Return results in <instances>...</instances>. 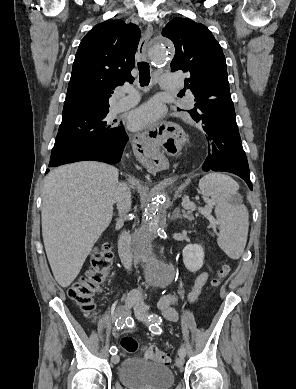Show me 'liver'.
<instances>
[{"label": "liver", "instance_id": "liver-1", "mask_svg": "<svg viewBox=\"0 0 296 389\" xmlns=\"http://www.w3.org/2000/svg\"><path fill=\"white\" fill-rule=\"evenodd\" d=\"M118 169L84 161L51 170L42 194V235L53 275L68 287L113 216Z\"/></svg>", "mask_w": 296, "mask_h": 389}]
</instances>
